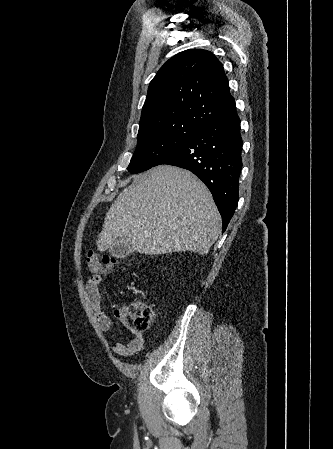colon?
<instances>
[{
	"label": "colon",
	"instance_id": "5ec220e1",
	"mask_svg": "<svg viewBox=\"0 0 333 449\" xmlns=\"http://www.w3.org/2000/svg\"><path fill=\"white\" fill-rule=\"evenodd\" d=\"M117 260L109 255L90 251L86 256V266L93 273H106L111 271ZM127 315L132 326L137 331H144L152 326L156 311L142 301H133L127 307Z\"/></svg>",
	"mask_w": 333,
	"mask_h": 449
}]
</instances>
